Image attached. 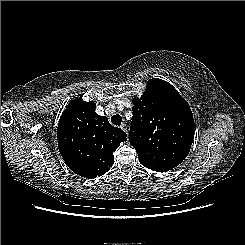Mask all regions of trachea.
<instances>
[{
	"label": "trachea",
	"mask_w": 245,
	"mask_h": 245,
	"mask_svg": "<svg viewBox=\"0 0 245 245\" xmlns=\"http://www.w3.org/2000/svg\"><path fill=\"white\" fill-rule=\"evenodd\" d=\"M111 122L114 124V125H121V122H122V118L120 115L116 114V115H113L111 117Z\"/></svg>",
	"instance_id": "1"
}]
</instances>
